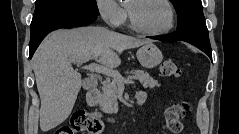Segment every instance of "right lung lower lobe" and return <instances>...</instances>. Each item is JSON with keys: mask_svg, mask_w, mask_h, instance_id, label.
Wrapping results in <instances>:
<instances>
[{"mask_svg": "<svg viewBox=\"0 0 239 134\" xmlns=\"http://www.w3.org/2000/svg\"><path fill=\"white\" fill-rule=\"evenodd\" d=\"M96 19L97 15L72 10L60 11L44 18L42 21L30 28L31 38L29 58H32L35 50L37 49L43 38L51 31L59 28H73L84 26L94 22Z\"/></svg>", "mask_w": 239, "mask_h": 134, "instance_id": "obj_1", "label": "right lung lower lobe"}]
</instances>
